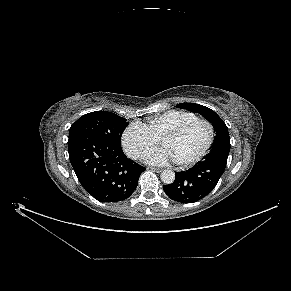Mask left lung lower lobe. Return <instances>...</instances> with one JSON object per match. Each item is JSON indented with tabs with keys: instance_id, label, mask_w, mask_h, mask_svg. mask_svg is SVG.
<instances>
[{
	"instance_id": "0a47b994",
	"label": "left lung lower lobe",
	"mask_w": 291,
	"mask_h": 291,
	"mask_svg": "<svg viewBox=\"0 0 291 291\" xmlns=\"http://www.w3.org/2000/svg\"><path fill=\"white\" fill-rule=\"evenodd\" d=\"M230 150V143H218L211 152L194 167L175 172V181L163 186L165 193L174 201L193 203L207 196L223 174Z\"/></svg>"
}]
</instances>
